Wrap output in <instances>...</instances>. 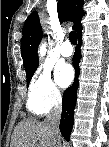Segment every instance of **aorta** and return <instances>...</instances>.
Masks as SVG:
<instances>
[{
  "mask_svg": "<svg viewBox=\"0 0 109 147\" xmlns=\"http://www.w3.org/2000/svg\"><path fill=\"white\" fill-rule=\"evenodd\" d=\"M38 52H39L40 57H43L45 55V53H46V45H45V43H42L40 45Z\"/></svg>",
  "mask_w": 109,
  "mask_h": 147,
  "instance_id": "aorta-1",
  "label": "aorta"
}]
</instances>
